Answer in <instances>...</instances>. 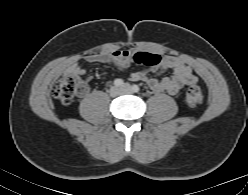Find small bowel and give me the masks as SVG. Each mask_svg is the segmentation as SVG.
Wrapping results in <instances>:
<instances>
[{
    "instance_id": "obj_1",
    "label": "small bowel",
    "mask_w": 248,
    "mask_h": 195,
    "mask_svg": "<svg viewBox=\"0 0 248 195\" xmlns=\"http://www.w3.org/2000/svg\"><path fill=\"white\" fill-rule=\"evenodd\" d=\"M86 59L90 62L114 64L121 70L127 69L130 66V53L128 51L101 52L92 54ZM167 68L173 70V75L159 79L157 76ZM150 72L154 75H150ZM66 73L82 77L85 75L86 70L80 63H74L66 70ZM129 78L131 81L147 83L156 93L167 92L171 95L177 94L184 86L197 83L198 81L191 67L186 65L180 58L174 56H164L160 58V62L156 66L147 70L132 72Z\"/></svg>"
}]
</instances>
